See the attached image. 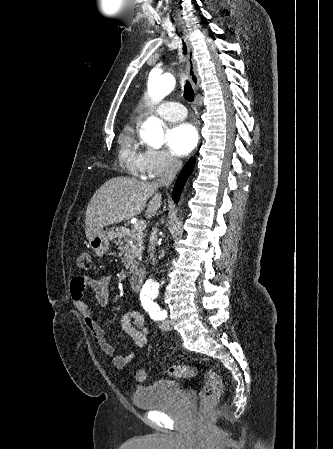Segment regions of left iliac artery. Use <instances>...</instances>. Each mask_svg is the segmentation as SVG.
<instances>
[{
	"label": "left iliac artery",
	"mask_w": 333,
	"mask_h": 449,
	"mask_svg": "<svg viewBox=\"0 0 333 449\" xmlns=\"http://www.w3.org/2000/svg\"><path fill=\"white\" fill-rule=\"evenodd\" d=\"M153 299V298H152ZM152 299L145 298L143 300L144 309L148 312L150 317L154 320H163L166 318V311L160 310L157 303L153 302Z\"/></svg>",
	"instance_id": "44dca946"
}]
</instances>
